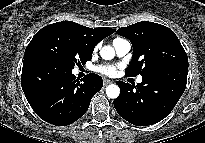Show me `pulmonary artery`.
I'll return each mask as SVG.
<instances>
[{"label":"pulmonary artery","instance_id":"e3ab8cb5","mask_svg":"<svg viewBox=\"0 0 205 143\" xmlns=\"http://www.w3.org/2000/svg\"><path fill=\"white\" fill-rule=\"evenodd\" d=\"M113 47H114L118 57H124L129 53V51L131 49V44L128 40L119 38V39L113 41ZM136 81H137V83H141L142 77L139 76Z\"/></svg>","mask_w":205,"mask_h":143}]
</instances>
